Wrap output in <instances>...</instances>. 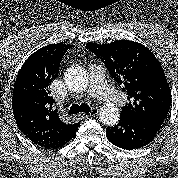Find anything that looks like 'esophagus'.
I'll return each instance as SVG.
<instances>
[{"label":"esophagus","mask_w":178,"mask_h":178,"mask_svg":"<svg viewBox=\"0 0 178 178\" xmlns=\"http://www.w3.org/2000/svg\"><path fill=\"white\" fill-rule=\"evenodd\" d=\"M98 114V109L97 108H93L91 109V111L89 112L88 115L85 116V114H80V116H85V117H89V116H95Z\"/></svg>","instance_id":"obj_1"}]
</instances>
